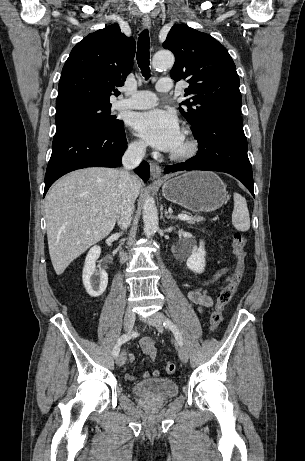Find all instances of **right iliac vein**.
Segmentation results:
<instances>
[{
    "label": "right iliac vein",
    "mask_w": 305,
    "mask_h": 461,
    "mask_svg": "<svg viewBox=\"0 0 305 461\" xmlns=\"http://www.w3.org/2000/svg\"><path fill=\"white\" fill-rule=\"evenodd\" d=\"M134 324H135V314L131 310H128L124 316V321H123L124 330L126 332H131ZM125 362H126V353L121 352L119 356L116 358V364L118 366H123Z\"/></svg>",
    "instance_id": "1"
}]
</instances>
